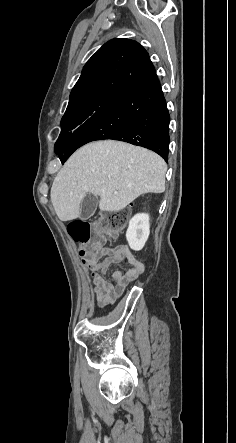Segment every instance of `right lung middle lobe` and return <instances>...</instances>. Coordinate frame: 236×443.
Here are the masks:
<instances>
[{"mask_svg":"<svg viewBox=\"0 0 236 443\" xmlns=\"http://www.w3.org/2000/svg\"><path fill=\"white\" fill-rule=\"evenodd\" d=\"M110 96V94L96 95L67 107L61 120V133L55 144V151L66 150L71 137L75 135L77 129L88 120Z\"/></svg>","mask_w":236,"mask_h":443,"instance_id":"dd1d6c3e","label":"right lung middle lobe"}]
</instances>
